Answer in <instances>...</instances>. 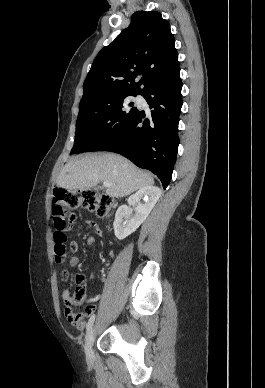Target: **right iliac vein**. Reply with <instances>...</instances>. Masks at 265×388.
Instances as JSON below:
<instances>
[{
    "instance_id": "1",
    "label": "right iliac vein",
    "mask_w": 265,
    "mask_h": 388,
    "mask_svg": "<svg viewBox=\"0 0 265 388\" xmlns=\"http://www.w3.org/2000/svg\"><path fill=\"white\" fill-rule=\"evenodd\" d=\"M95 340V329H91L88 332V335L86 336L85 340V355L87 361H92L94 357V352H93V344Z\"/></svg>"
}]
</instances>
